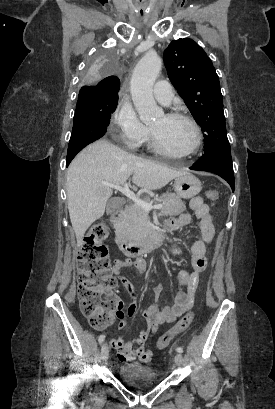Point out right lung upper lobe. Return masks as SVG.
Wrapping results in <instances>:
<instances>
[{"instance_id": "obj_1", "label": "right lung upper lobe", "mask_w": 275, "mask_h": 409, "mask_svg": "<svg viewBox=\"0 0 275 409\" xmlns=\"http://www.w3.org/2000/svg\"><path fill=\"white\" fill-rule=\"evenodd\" d=\"M120 80L117 76H109L108 79H103L100 85L83 86L79 94H87L101 98L118 97Z\"/></svg>"}]
</instances>
